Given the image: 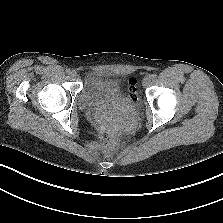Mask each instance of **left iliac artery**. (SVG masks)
<instances>
[{
    "label": "left iliac artery",
    "mask_w": 223,
    "mask_h": 223,
    "mask_svg": "<svg viewBox=\"0 0 223 223\" xmlns=\"http://www.w3.org/2000/svg\"><path fill=\"white\" fill-rule=\"evenodd\" d=\"M156 74H152L150 77H151V79H155L156 78Z\"/></svg>",
    "instance_id": "left-iliac-artery-1"
}]
</instances>
